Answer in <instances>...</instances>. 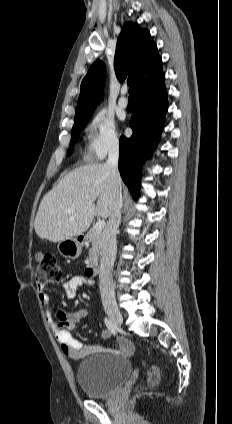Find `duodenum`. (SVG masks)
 Wrapping results in <instances>:
<instances>
[{"instance_id": "obj_1", "label": "duodenum", "mask_w": 232, "mask_h": 424, "mask_svg": "<svg viewBox=\"0 0 232 424\" xmlns=\"http://www.w3.org/2000/svg\"><path fill=\"white\" fill-rule=\"evenodd\" d=\"M99 260L97 258H93L89 264L87 265L86 272L89 276H95L99 272Z\"/></svg>"}]
</instances>
